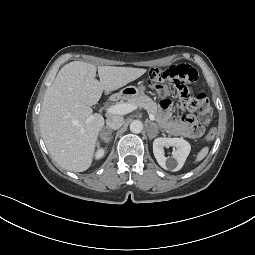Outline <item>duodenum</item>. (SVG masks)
I'll use <instances>...</instances> for the list:
<instances>
[{
  "mask_svg": "<svg viewBox=\"0 0 255 255\" xmlns=\"http://www.w3.org/2000/svg\"><path fill=\"white\" fill-rule=\"evenodd\" d=\"M123 96H124L123 93H117V94H115V95H113V96L111 97V100H112V101H118V100L122 99Z\"/></svg>",
  "mask_w": 255,
  "mask_h": 255,
  "instance_id": "1",
  "label": "duodenum"
}]
</instances>
